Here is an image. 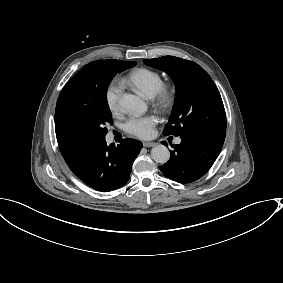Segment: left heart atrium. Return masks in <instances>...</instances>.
I'll return each mask as SVG.
<instances>
[{"instance_id":"1","label":"left heart atrium","mask_w":283,"mask_h":283,"mask_svg":"<svg viewBox=\"0 0 283 283\" xmlns=\"http://www.w3.org/2000/svg\"><path fill=\"white\" fill-rule=\"evenodd\" d=\"M157 122L158 117L156 115L138 116L132 114L125 122L124 127L129 133L140 137H149L153 134V127Z\"/></svg>"}]
</instances>
